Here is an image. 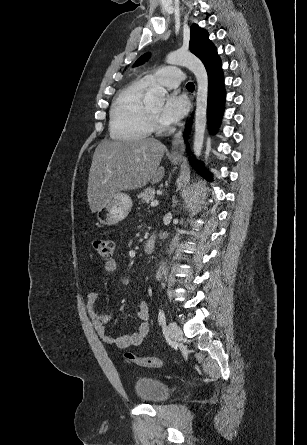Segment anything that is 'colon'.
Returning <instances> with one entry per match:
<instances>
[{
    "mask_svg": "<svg viewBox=\"0 0 307 445\" xmlns=\"http://www.w3.org/2000/svg\"><path fill=\"white\" fill-rule=\"evenodd\" d=\"M94 247L97 253L106 259H110L113 254V243L109 240H96L94 242ZM125 359L131 363H134L141 367L147 368H160L162 366V361L156 357H140L131 352L125 353Z\"/></svg>",
    "mask_w": 307,
    "mask_h": 445,
    "instance_id": "obj_1",
    "label": "colon"
}]
</instances>
